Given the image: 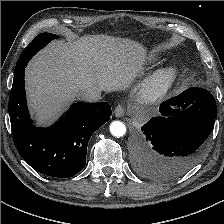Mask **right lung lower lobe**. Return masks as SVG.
Returning <instances> with one entry per match:
<instances>
[{
	"label": "right lung lower lobe",
	"mask_w": 224,
	"mask_h": 224,
	"mask_svg": "<svg viewBox=\"0 0 224 224\" xmlns=\"http://www.w3.org/2000/svg\"><path fill=\"white\" fill-rule=\"evenodd\" d=\"M31 58L15 69L9 97V115L14 144L21 157L47 176L67 178L86 164L91 135L112 115L107 102L73 104L50 128L35 127L26 105L24 73Z\"/></svg>",
	"instance_id": "obj_1"
}]
</instances>
